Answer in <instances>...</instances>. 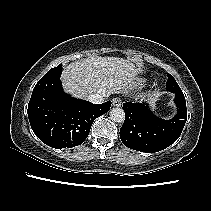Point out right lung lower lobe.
<instances>
[{"mask_svg":"<svg viewBox=\"0 0 211 211\" xmlns=\"http://www.w3.org/2000/svg\"><path fill=\"white\" fill-rule=\"evenodd\" d=\"M61 73L62 67L45 74L35 85L28 105V117L35 135L57 149L82 144L93 121L111 106V101L93 104L65 94Z\"/></svg>","mask_w":211,"mask_h":211,"instance_id":"1","label":"right lung lower lobe"}]
</instances>
